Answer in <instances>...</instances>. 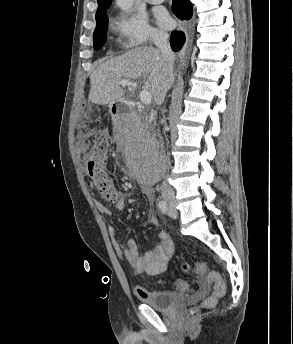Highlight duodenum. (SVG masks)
Returning <instances> with one entry per match:
<instances>
[{"label":"duodenum","mask_w":293,"mask_h":344,"mask_svg":"<svg viewBox=\"0 0 293 344\" xmlns=\"http://www.w3.org/2000/svg\"><path fill=\"white\" fill-rule=\"evenodd\" d=\"M118 114V112H113V115L116 116Z\"/></svg>","instance_id":"410a0bca"}]
</instances>
